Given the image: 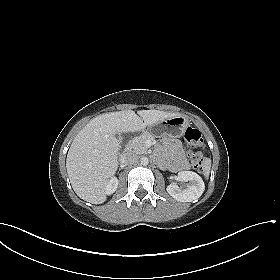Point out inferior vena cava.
Masks as SVG:
<instances>
[{"label": "inferior vena cava", "instance_id": "obj_1", "mask_svg": "<svg viewBox=\"0 0 280 280\" xmlns=\"http://www.w3.org/2000/svg\"><path fill=\"white\" fill-rule=\"evenodd\" d=\"M139 160L138 155L134 154V153H125L122 157H121V162L123 164H135L137 163Z\"/></svg>", "mask_w": 280, "mask_h": 280}]
</instances>
